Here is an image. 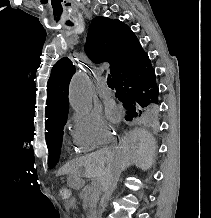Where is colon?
<instances>
[{
  "label": "colon",
  "instance_id": "colon-1",
  "mask_svg": "<svg viewBox=\"0 0 211 218\" xmlns=\"http://www.w3.org/2000/svg\"><path fill=\"white\" fill-rule=\"evenodd\" d=\"M59 194L63 200L69 201L71 199V190L66 186L60 187Z\"/></svg>",
  "mask_w": 211,
  "mask_h": 218
}]
</instances>
